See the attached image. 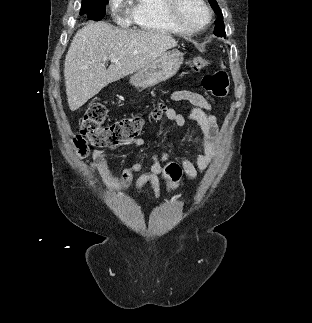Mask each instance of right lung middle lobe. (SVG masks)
I'll list each match as a JSON object with an SVG mask.
<instances>
[{"instance_id":"obj_1","label":"right lung middle lobe","mask_w":312,"mask_h":323,"mask_svg":"<svg viewBox=\"0 0 312 323\" xmlns=\"http://www.w3.org/2000/svg\"><path fill=\"white\" fill-rule=\"evenodd\" d=\"M106 0H82L81 15L91 20L100 21L106 14Z\"/></svg>"}]
</instances>
